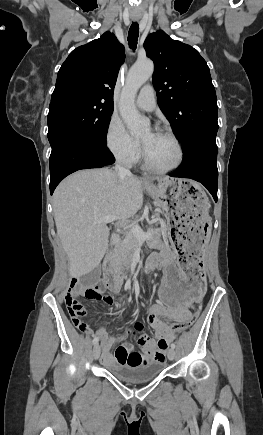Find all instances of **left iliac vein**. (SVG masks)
Segmentation results:
<instances>
[{
	"mask_svg": "<svg viewBox=\"0 0 263 435\" xmlns=\"http://www.w3.org/2000/svg\"><path fill=\"white\" fill-rule=\"evenodd\" d=\"M167 356L169 360H174L176 357V351L173 348L169 349Z\"/></svg>",
	"mask_w": 263,
	"mask_h": 435,
	"instance_id": "1",
	"label": "left iliac vein"
}]
</instances>
